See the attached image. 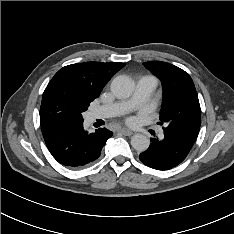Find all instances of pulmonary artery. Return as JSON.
Listing matches in <instances>:
<instances>
[{"instance_id": "obj_1", "label": "pulmonary artery", "mask_w": 234, "mask_h": 234, "mask_svg": "<svg viewBox=\"0 0 234 234\" xmlns=\"http://www.w3.org/2000/svg\"><path fill=\"white\" fill-rule=\"evenodd\" d=\"M157 82L151 76L141 77L136 86L135 93L132 98L126 101L116 102L96 109L91 114V119L107 118L123 114L137 105L145 103L154 91ZM160 135L162 133L160 132Z\"/></svg>"}]
</instances>
